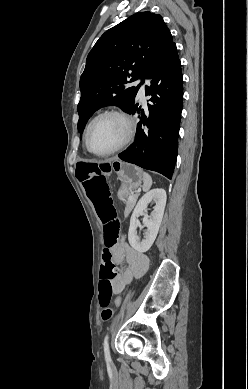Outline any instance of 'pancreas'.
I'll list each match as a JSON object with an SVG mask.
<instances>
[{"label":"pancreas","instance_id":"pancreas-1","mask_svg":"<svg viewBox=\"0 0 248 389\" xmlns=\"http://www.w3.org/2000/svg\"><path fill=\"white\" fill-rule=\"evenodd\" d=\"M137 195H134V198L132 200L128 199L126 202V208H125V214H129L132 208L134 207L136 200H137Z\"/></svg>","mask_w":248,"mask_h":389}]
</instances>
